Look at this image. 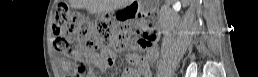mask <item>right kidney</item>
<instances>
[{"label": "right kidney", "mask_w": 258, "mask_h": 77, "mask_svg": "<svg viewBox=\"0 0 258 77\" xmlns=\"http://www.w3.org/2000/svg\"><path fill=\"white\" fill-rule=\"evenodd\" d=\"M183 4L187 5V2H189V0H182ZM176 5H179L180 7V4L179 3H176ZM168 12V9L167 7H162L161 8V14L164 15Z\"/></svg>", "instance_id": "obj_1"}]
</instances>
